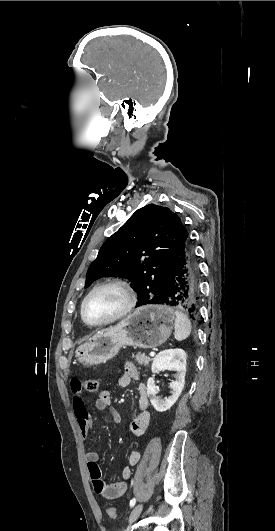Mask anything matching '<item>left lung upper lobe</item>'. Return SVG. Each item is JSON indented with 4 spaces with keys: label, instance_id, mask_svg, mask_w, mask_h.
Segmentation results:
<instances>
[{
    "label": "left lung upper lobe",
    "instance_id": "1",
    "mask_svg": "<svg viewBox=\"0 0 275 531\" xmlns=\"http://www.w3.org/2000/svg\"><path fill=\"white\" fill-rule=\"evenodd\" d=\"M187 238L177 214L166 207L146 205L102 245L88 269L85 287L101 277L119 276L131 281L138 294L137 307L157 303Z\"/></svg>",
    "mask_w": 275,
    "mask_h": 531
}]
</instances>
